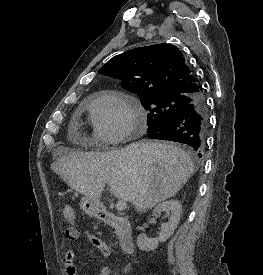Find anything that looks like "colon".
<instances>
[{"instance_id": "obj_1", "label": "colon", "mask_w": 263, "mask_h": 275, "mask_svg": "<svg viewBox=\"0 0 263 275\" xmlns=\"http://www.w3.org/2000/svg\"><path fill=\"white\" fill-rule=\"evenodd\" d=\"M61 211H62V215H63V218L69 222V223H72L76 220V212L74 210V208L70 205H64L62 208H61Z\"/></svg>"}]
</instances>
